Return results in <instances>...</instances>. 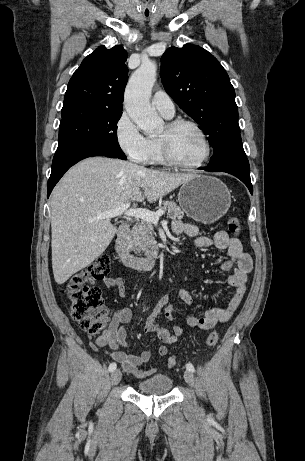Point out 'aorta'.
<instances>
[{
    "label": "aorta",
    "instance_id": "762f6f07",
    "mask_svg": "<svg viewBox=\"0 0 305 461\" xmlns=\"http://www.w3.org/2000/svg\"><path fill=\"white\" fill-rule=\"evenodd\" d=\"M156 71L154 62L144 61L130 77L124 96V106L129 117L150 136L159 134L163 129V120L150 104Z\"/></svg>",
    "mask_w": 305,
    "mask_h": 461
}]
</instances>
